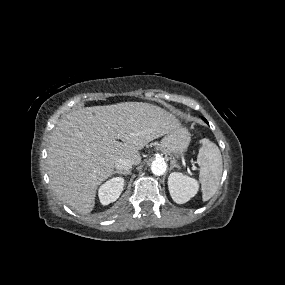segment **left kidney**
<instances>
[{"instance_id":"5707ae66","label":"left kidney","mask_w":285,"mask_h":285,"mask_svg":"<svg viewBox=\"0 0 285 285\" xmlns=\"http://www.w3.org/2000/svg\"><path fill=\"white\" fill-rule=\"evenodd\" d=\"M168 188L172 199L178 204H183L197 194L199 185L195 179L173 172L168 178Z\"/></svg>"}]
</instances>
